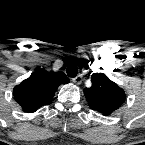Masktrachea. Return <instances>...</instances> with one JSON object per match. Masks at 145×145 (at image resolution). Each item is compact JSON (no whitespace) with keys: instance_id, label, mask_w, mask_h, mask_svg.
Listing matches in <instances>:
<instances>
[{"instance_id":"1","label":"trachea","mask_w":145,"mask_h":145,"mask_svg":"<svg viewBox=\"0 0 145 145\" xmlns=\"http://www.w3.org/2000/svg\"><path fill=\"white\" fill-rule=\"evenodd\" d=\"M67 75L69 77H76V75L78 74V68L74 63H70L67 67Z\"/></svg>"}]
</instances>
